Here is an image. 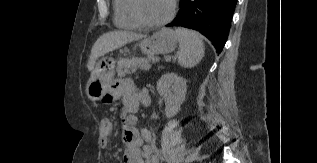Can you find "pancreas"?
I'll list each match as a JSON object with an SVG mask.
<instances>
[{"instance_id":"obj_1","label":"pancreas","mask_w":317,"mask_h":163,"mask_svg":"<svg viewBox=\"0 0 317 163\" xmlns=\"http://www.w3.org/2000/svg\"><path fill=\"white\" fill-rule=\"evenodd\" d=\"M153 58H122L117 62V73L118 76H125L131 72L137 71L138 68L145 69V67H150V61Z\"/></svg>"}]
</instances>
